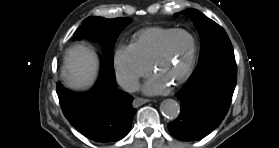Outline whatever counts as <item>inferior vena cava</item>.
Returning <instances> with one entry per match:
<instances>
[{
  "instance_id": "obj_1",
  "label": "inferior vena cava",
  "mask_w": 279,
  "mask_h": 148,
  "mask_svg": "<svg viewBox=\"0 0 279 148\" xmlns=\"http://www.w3.org/2000/svg\"><path fill=\"white\" fill-rule=\"evenodd\" d=\"M118 83L127 92H136L140 87L138 79L130 76L118 77Z\"/></svg>"
}]
</instances>
